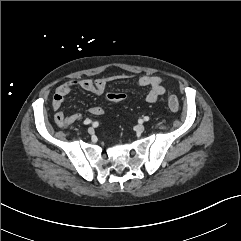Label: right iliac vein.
<instances>
[{
	"label": "right iliac vein",
	"mask_w": 241,
	"mask_h": 241,
	"mask_svg": "<svg viewBox=\"0 0 241 241\" xmlns=\"http://www.w3.org/2000/svg\"><path fill=\"white\" fill-rule=\"evenodd\" d=\"M88 133H89V134H93V133H94L93 127H89V128H88Z\"/></svg>",
	"instance_id": "obj_1"
}]
</instances>
